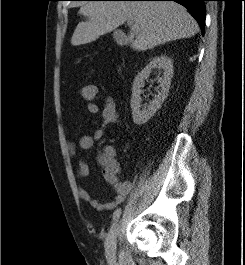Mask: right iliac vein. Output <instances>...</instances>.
Instances as JSON below:
<instances>
[{"label": "right iliac vein", "mask_w": 245, "mask_h": 265, "mask_svg": "<svg viewBox=\"0 0 245 265\" xmlns=\"http://www.w3.org/2000/svg\"><path fill=\"white\" fill-rule=\"evenodd\" d=\"M120 222H115L105 241V254L108 261L113 262L116 259V240L119 234Z\"/></svg>", "instance_id": "right-iliac-vein-1"}]
</instances>
